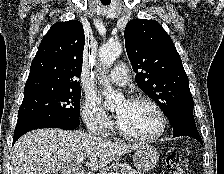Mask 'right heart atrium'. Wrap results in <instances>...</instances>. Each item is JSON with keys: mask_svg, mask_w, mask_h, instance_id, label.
Masks as SVG:
<instances>
[{"mask_svg": "<svg viewBox=\"0 0 224 174\" xmlns=\"http://www.w3.org/2000/svg\"><path fill=\"white\" fill-rule=\"evenodd\" d=\"M82 116L87 127L102 136L108 135L113 128L111 118L94 95L86 96L82 107Z\"/></svg>", "mask_w": 224, "mask_h": 174, "instance_id": "1", "label": "right heart atrium"}]
</instances>
